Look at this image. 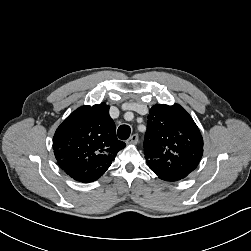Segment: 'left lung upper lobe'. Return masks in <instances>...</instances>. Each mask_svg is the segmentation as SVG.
Instances as JSON below:
<instances>
[{
  "label": "left lung upper lobe",
  "mask_w": 251,
  "mask_h": 251,
  "mask_svg": "<svg viewBox=\"0 0 251 251\" xmlns=\"http://www.w3.org/2000/svg\"><path fill=\"white\" fill-rule=\"evenodd\" d=\"M144 154L174 168L196 167L203 154V139L191 116L178 104L150 109Z\"/></svg>",
  "instance_id": "obj_1"
}]
</instances>
